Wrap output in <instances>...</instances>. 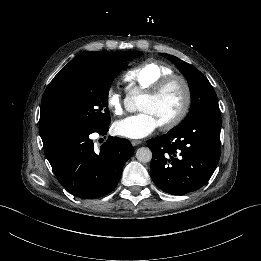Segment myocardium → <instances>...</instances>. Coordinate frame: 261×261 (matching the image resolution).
<instances>
[{"instance_id":"1","label":"myocardium","mask_w":261,"mask_h":261,"mask_svg":"<svg viewBox=\"0 0 261 261\" xmlns=\"http://www.w3.org/2000/svg\"><path fill=\"white\" fill-rule=\"evenodd\" d=\"M175 83H180L182 85L184 89V101L179 112L173 118L160 125L163 130L173 129L186 117L192 102L191 86L185 77L172 74L162 78L145 94L146 98L156 99Z\"/></svg>"}]
</instances>
